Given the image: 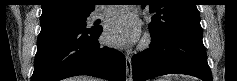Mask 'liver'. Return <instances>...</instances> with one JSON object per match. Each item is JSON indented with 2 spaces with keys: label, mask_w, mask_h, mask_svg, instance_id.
I'll list each match as a JSON object with an SVG mask.
<instances>
[{
  "label": "liver",
  "mask_w": 237,
  "mask_h": 81,
  "mask_svg": "<svg viewBox=\"0 0 237 81\" xmlns=\"http://www.w3.org/2000/svg\"><path fill=\"white\" fill-rule=\"evenodd\" d=\"M69 81H99L98 78L89 76H76L69 79Z\"/></svg>",
  "instance_id": "liver-1"
}]
</instances>
